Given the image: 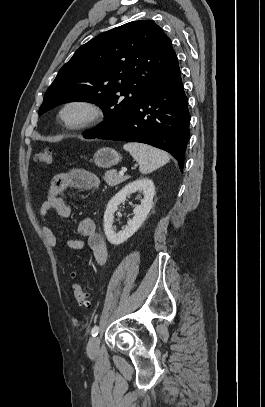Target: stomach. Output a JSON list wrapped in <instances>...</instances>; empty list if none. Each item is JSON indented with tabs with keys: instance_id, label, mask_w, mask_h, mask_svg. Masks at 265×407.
<instances>
[{
	"instance_id": "0dacf381",
	"label": "stomach",
	"mask_w": 265,
	"mask_h": 407,
	"mask_svg": "<svg viewBox=\"0 0 265 407\" xmlns=\"http://www.w3.org/2000/svg\"><path fill=\"white\" fill-rule=\"evenodd\" d=\"M121 155L112 148H101L93 156L94 163L101 168H109L121 161Z\"/></svg>"
}]
</instances>
